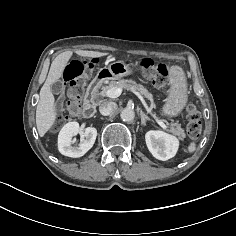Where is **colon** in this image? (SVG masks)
Segmentation results:
<instances>
[{"label": "colon", "instance_id": "1", "mask_svg": "<svg viewBox=\"0 0 236 236\" xmlns=\"http://www.w3.org/2000/svg\"><path fill=\"white\" fill-rule=\"evenodd\" d=\"M94 59H71L63 69V78L67 84V99L65 110L58 116L62 121L68 116H76L81 112V97L86 80L85 77L94 67ZM142 75L152 84L159 88L167 86L169 69L164 64H156L151 59H144L141 62ZM188 119L187 134L191 139H197L201 134L200 112L194 105H189L185 110Z\"/></svg>", "mask_w": 236, "mask_h": 236}]
</instances>
